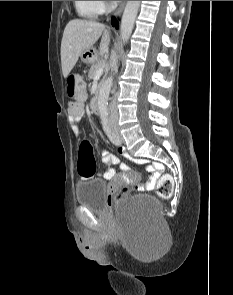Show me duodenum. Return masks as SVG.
<instances>
[{
    "mask_svg": "<svg viewBox=\"0 0 233 295\" xmlns=\"http://www.w3.org/2000/svg\"><path fill=\"white\" fill-rule=\"evenodd\" d=\"M99 97H100V94L97 93L91 100V108L95 113H98L100 109Z\"/></svg>",
    "mask_w": 233,
    "mask_h": 295,
    "instance_id": "1",
    "label": "duodenum"
}]
</instances>
